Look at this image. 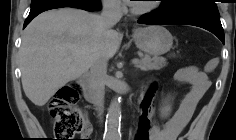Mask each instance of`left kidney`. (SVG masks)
<instances>
[{
    "label": "left kidney",
    "mask_w": 236,
    "mask_h": 140,
    "mask_svg": "<svg viewBox=\"0 0 236 140\" xmlns=\"http://www.w3.org/2000/svg\"><path fill=\"white\" fill-rule=\"evenodd\" d=\"M171 111V106L169 104H165L163 105V107L161 108V114L162 116H167L169 114V112Z\"/></svg>",
    "instance_id": "5707ae66"
}]
</instances>
